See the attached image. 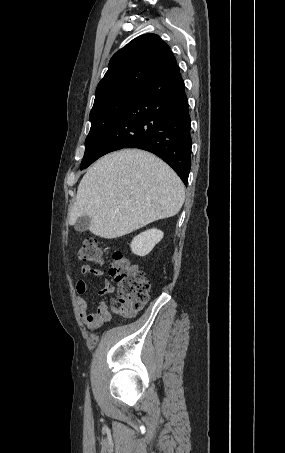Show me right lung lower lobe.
I'll return each mask as SVG.
<instances>
[{
  "label": "right lung lower lobe",
  "mask_w": 285,
  "mask_h": 453,
  "mask_svg": "<svg viewBox=\"0 0 285 453\" xmlns=\"http://www.w3.org/2000/svg\"><path fill=\"white\" fill-rule=\"evenodd\" d=\"M190 116L178 65L152 77L136 93L100 147L96 160L122 148L154 153L187 185L191 167Z\"/></svg>",
  "instance_id": "98d812e1"
}]
</instances>
